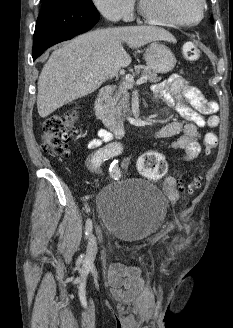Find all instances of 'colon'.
<instances>
[{
	"mask_svg": "<svg viewBox=\"0 0 233 328\" xmlns=\"http://www.w3.org/2000/svg\"><path fill=\"white\" fill-rule=\"evenodd\" d=\"M183 55L189 61H196L200 58V50L194 43H186L183 46ZM78 113L75 111L63 115L52 116L42 123V145L45 151L64 156L68 154L71 133L75 128ZM206 154H210L216 146L217 138L214 134L206 135ZM139 171L146 178L157 180L162 178L167 172L165 158L157 152H145L138 161ZM198 180L184 187L186 192H193L198 188Z\"/></svg>",
	"mask_w": 233,
	"mask_h": 328,
	"instance_id": "5ec220e1",
	"label": "colon"
}]
</instances>
